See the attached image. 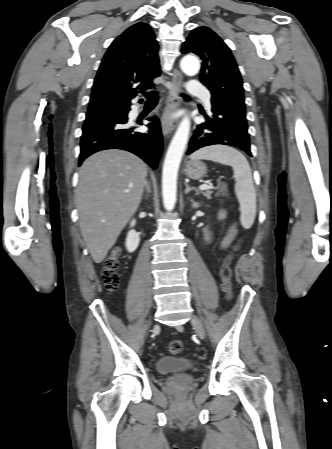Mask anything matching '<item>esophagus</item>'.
Returning <instances> with one entry per match:
<instances>
[{
    "instance_id": "1",
    "label": "esophagus",
    "mask_w": 332,
    "mask_h": 449,
    "mask_svg": "<svg viewBox=\"0 0 332 449\" xmlns=\"http://www.w3.org/2000/svg\"><path fill=\"white\" fill-rule=\"evenodd\" d=\"M183 82V76L178 70L172 74V89L169 91L168 102L161 118V127L164 136L169 135L176 127L177 121L173 114L181 106L179 92Z\"/></svg>"
}]
</instances>
